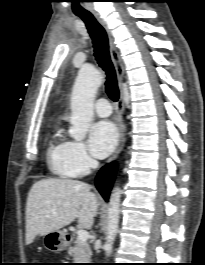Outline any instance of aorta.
Instances as JSON below:
<instances>
[{
	"mask_svg": "<svg viewBox=\"0 0 205 265\" xmlns=\"http://www.w3.org/2000/svg\"><path fill=\"white\" fill-rule=\"evenodd\" d=\"M102 74L94 69L82 67L78 73L71 95V128L69 135L81 141L85 138L93 119L94 99L102 83ZM121 190L115 187L108 208L107 235L104 250L108 256L119 228Z\"/></svg>",
	"mask_w": 205,
	"mask_h": 265,
	"instance_id": "762f6f07",
	"label": "aorta"
}]
</instances>
